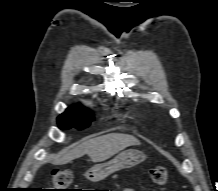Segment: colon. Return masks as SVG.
Returning a JSON list of instances; mask_svg holds the SVG:
<instances>
[{"label": "colon", "mask_w": 218, "mask_h": 191, "mask_svg": "<svg viewBox=\"0 0 218 191\" xmlns=\"http://www.w3.org/2000/svg\"><path fill=\"white\" fill-rule=\"evenodd\" d=\"M149 177L153 184L164 185L167 182L168 173L164 167H156L149 171ZM73 181V172L68 169L56 170L52 175L53 191H73L68 187Z\"/></svg>", "instance_id": "colon-1"}]
</instances>
